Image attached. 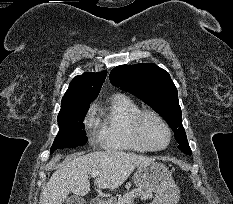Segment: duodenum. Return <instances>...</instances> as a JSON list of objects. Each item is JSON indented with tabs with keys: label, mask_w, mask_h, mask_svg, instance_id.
I'll return each mask as SVG.
<instances>
[{
	"label": "duodenum",
	"mask_w": 233,
	"mask_h": 204,
	"mask_svg": "<svg viewBox=\"0 0 233 204\" xmlns=\"http://www.w3.org/2000/svg\"><path fill=\"white\" fill-rule=\"evenodd\" d=\"M90 204H103V202H102L100 199L95 198V199H93V200L91 201Z\"/></svg>",
	"instance_id": "1"
}]
</instances>
